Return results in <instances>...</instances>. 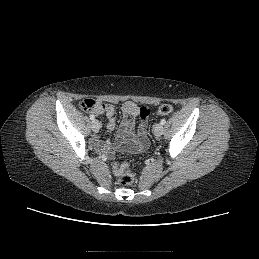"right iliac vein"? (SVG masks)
Here are the masks:
<instances>
[{"mask_svg":"<svg viewBox=\"0 0 259 259\" xmlns=\"http://www.w3.org/2000/svg\"><path fill=\"white\" fill-rule=\"evenodd\" d=\"M99 129H100V123L97 120H93V122H92V130L94 132H97V131H99Z\"/></svg>","mask_w":259,"mask_h":259,"instance_id":"right-iliac-vein-1","label":"right iliac vein"}]
</instances>
